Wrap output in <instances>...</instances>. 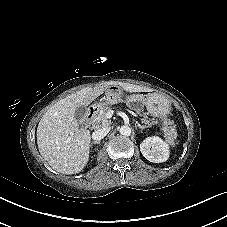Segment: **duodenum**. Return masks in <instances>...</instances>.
<instances>
[{
    "instance_id": "1",
    "label": "duodenum",
    "mask_w": 227,
    "mask_h": 227,
    "mask_svg": "<svg viewBox=\"0 0 227 227\" xmlns=\"http://www.w3.org/2000/svg\"><path fill=\"white\" fill-rule=\"evenodd\" d=\"M98 106L96 104H92L87 109V112L81 118L80 123L82 126L87 127L91 124L93 117L95 116L96 110Z\"/></svg>"
}]
</instances>
